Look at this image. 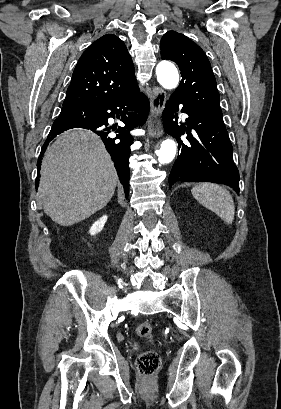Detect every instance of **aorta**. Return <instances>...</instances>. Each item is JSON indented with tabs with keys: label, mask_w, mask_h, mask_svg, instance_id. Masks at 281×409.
Returning <instances> with one entry per match:
<instances>
[{
	"label": "aorta",
	"mask_w": 281,
	"mask_h": 409,
	"mask_svg": "<svg viewBox=\"0 0 281 409\" xmlns=\"http://www.w3.org/2000/svg\"><path fill=\"white\" fill-rule=\"evenodd\" d=\"M157 80L165 89L176 88L179 83V74L176 67L168 61L160 62L156 67ZM176 154V143L172 139H166L162 142L160 148L156 151L158 161L161 164L170 163Z\"/></svg>",
	"instance_id": "1"
}]
</instances>
